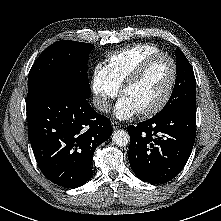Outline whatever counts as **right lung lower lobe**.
<instances>
[{
  "label": "right lung lower lobe",
  "instance_id": "1",
  "mask_svg": "<svg viewBox=\"0 0 221 221\" xmlns=\"http://www.w3.org/2000/svg\"><path fill=\"white\" fill-rule=\"evenodd\" d=\"M26 108L29 140L44 176L65 188L86 183L94 150L111 135L110 120L65 89L45 91Z\"/></svg>",
  "mask_w": 221,
  "mask_h": 221
}]
</instances>
